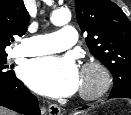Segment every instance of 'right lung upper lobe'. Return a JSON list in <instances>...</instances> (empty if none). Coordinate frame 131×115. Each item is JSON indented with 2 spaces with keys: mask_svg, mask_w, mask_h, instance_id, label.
Segmentation results:
<instances>
[{
  "mask_svg": "<svg viewBox=\"0 0 131 115\" xmlns=\"http://www.w3.org/2000/svg\"><path fill=\"white\" fill-rule=\"evenodd\" d=\"M29 20L23 0H0V55L7 54L5 48L13 36L25 34Z\"/></svg>",
  "mask_w": 131,
  "mask_h": 115,
  "instance_id": "right-lung-upper-lobe-1",
  "label": "right lung upper lobe"
}]
</instances>
